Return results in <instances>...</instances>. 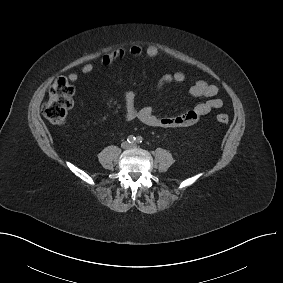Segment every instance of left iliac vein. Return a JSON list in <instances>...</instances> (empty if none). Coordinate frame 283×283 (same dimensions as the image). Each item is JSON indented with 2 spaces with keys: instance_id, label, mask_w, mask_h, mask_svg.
Listing matches in <instances>:
<instances>
[{
  "instance_id": "left-iliac-vein-1",
  "label": "left iliac vein",
  "mask_w": 283,
  "mask_h": 283,
  "mask_svg": "<svg viewBox=\"0 0 283 283\" xmlns=\"http://www.w3.org/2000/svg\"><path fill=\"white\" fill-rule=\"evenodd\" d=\"M130 147H131V148H135V147H136V144H131Z\"/></svg>"
}]
</instances>
